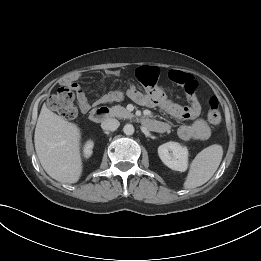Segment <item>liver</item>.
Segmentation results:
<instances>
[{"label":"liver","instance_id":"liver-1","mask_svg":"<svg viewBox=\"0 0 261 261\" xmlns=\"http://www.w3.org/2000/svg\"><path fill=\"white\" fill-rule=\"evenodd\" d=\"M38 159L53 179L76 183L82 174L79 127L49 110L44 104L37 120L34 135Z\"/></svg>","mask_w":261,"mask_h":261}]
</instances>
